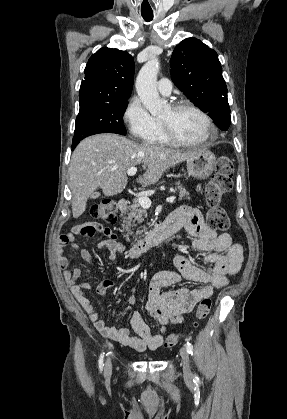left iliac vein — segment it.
<instances>
[{
	"instance_id": "4c4485c4",
	"label": "left iliac vein",
	"mask_w": 287,
	"mask_h": 419,
	"mask_svg": "<svg viewBox=\"0 0 287 419\" xmlns=\"http://www.w3.org/2000/svg\"><path fill=\"white\" fill-rule=\"evenodd\" d=\"M180 355L182 358V362H183V372H184V377L186 379H192V372H191V368H190V360H189V354L187 352L186 348H181L180 351Z\"/></svg>"
}]
</instances>
